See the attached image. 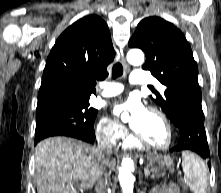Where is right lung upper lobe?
I'll return each mask as SVG.
<instances>
[{"label": "right lung upper lobe", "mask_w": 221, "mask_h": 193, "mask_svg": "<svg viewBox=\"0 0 221 193\" xmlns=\"http://www.w3.org/2000/svg\"><path fill=\"white\" fill-rule=\"evenodd\" d=\"M115 51L106 23L88 15L57 39L44 68L38 105L89 101L95 80L105 78Z\"/></svg>", "instance_id": "right-lung-upper-lobe-1"}]
</instances>
